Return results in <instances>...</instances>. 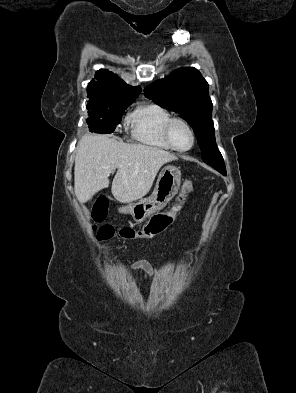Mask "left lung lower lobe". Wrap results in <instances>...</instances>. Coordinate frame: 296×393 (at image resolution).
<instances>
[{"mask_svg":"<svg viewBox=\"0 0 296 393\" xmlns=\"http://www.w3.org/2000/svg\"><path fill=\"white\" fill-rule=\"evenodd\" d=\"M223 175H226V172L222 173Z\"/></svg>","mask_w":296,"mask_h":393,"instance_id":"0a47b994","label":"left lung lower lobe"}]
</instances>
